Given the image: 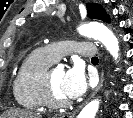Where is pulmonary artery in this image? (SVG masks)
Returning a JSON list of instances; mask_svg holds the SVG:
<instances>
[{
  "label": "pulmonary artery",
  "instance_id": "1",
  "mask_svg": "<svg viewBox=\"0 0 133 118\" xmlns=\"http://www.w3.org/2000/svg\"><path fill=\"white\" fill-rule=\"evenodd\" d=\"M43 50L53 61L71 52H76L86 58H93L97 53L95 45L86 41H61L48 44L43 47Z\"/></svg>",
  "mask_w": 133,
  "mask_h": 118
}]
</instances>
